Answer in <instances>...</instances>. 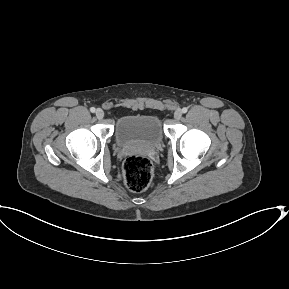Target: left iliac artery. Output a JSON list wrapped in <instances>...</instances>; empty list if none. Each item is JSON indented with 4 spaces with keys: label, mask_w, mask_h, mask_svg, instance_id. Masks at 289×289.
I'll return each mask as SVG.
<instances>
[{
    "label": "left iliac artery",
    "mask_w": 289,
    "mask_h": 289,
    "mask_svg": "<svg viewBox=\"0 0 289 289\" xmlns=\"http://www.w3.org/2000/svg\"><path fill=\"white\" fill-rule=\"evenodd\" d=\"M187 111H188V108H186V107H183V108H182V112H183V113H186Z\"/></svg>",
    "instance_id": "44dca946"
}]
</instances>
